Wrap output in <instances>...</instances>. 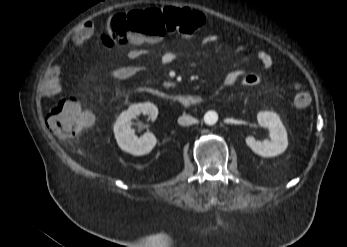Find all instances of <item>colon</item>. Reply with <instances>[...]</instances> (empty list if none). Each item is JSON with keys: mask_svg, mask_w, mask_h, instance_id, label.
<instances>
[{"mask_svg": "<svg viewBox=\"0 0 347 247\" xmlns=\"http://www.w3.org/2000/svg\"><path fill=\"white\" fill-rule=\"evenodd\" d=\"M205 23V16L187 8H150L112 16L107 25L104 43L123 45L129 40L159 41L167 33L192 34ZM294 105L303 109L310 105L311 95L301 84L294 86ZM50 131L61 139L77 137L93 123L92 116L75 98L56 101L47 117Z\"/></svg>", "mask_w": 347, "mask_h": 247, "instance_id": "colon-1", "label": "colon"}]
</instances>
